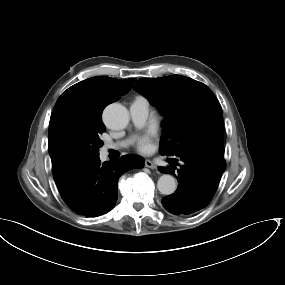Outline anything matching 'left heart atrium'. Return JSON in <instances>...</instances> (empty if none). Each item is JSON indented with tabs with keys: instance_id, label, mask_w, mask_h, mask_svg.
<instances>
[{
	"instance_id": "left-heart-atrium-1",
	"label": "left heart atrium",
	"mask_w": 285,
	"mask_h": 285,
	"mask_svg": "<svg viewBox=\"0 0 285 285\" xmlns=\"http://www.w3.org/2000/svg\"><path fill=\"white\" fill-rule=\"evenodd\" d=\"M154 137L153 132L146 133L136 138V148L140 152H148Z\"/></svg>"
}]
</instances>
